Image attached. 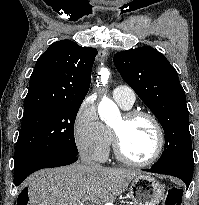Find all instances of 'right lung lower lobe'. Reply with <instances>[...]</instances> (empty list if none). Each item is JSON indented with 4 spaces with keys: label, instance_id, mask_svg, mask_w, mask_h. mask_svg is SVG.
Masks as SVG:
<instances>
[{
    "label": "right lung lower lobe",
    "instance_id": "right-lung-lower-lobe-1",
    "mask_svg": "<svg viewBox=\"0 0 199 205\" xmlns=\"http://www.w3.org/2000/svg\"><path fill=\"white\" fill-rule=\"evenodd\" d=\"M77 160V156L60 153H50L39 156L14 169V183L16 186L20 185L28 175L37 170L68 165Z\"/></svg>",
    "mask_w": 199,
    "mask_h": 205
}]
</instances>
